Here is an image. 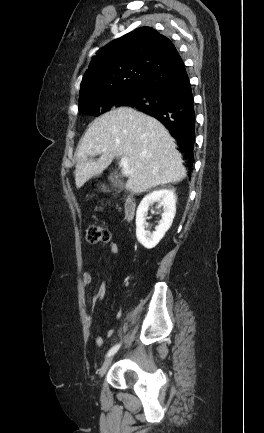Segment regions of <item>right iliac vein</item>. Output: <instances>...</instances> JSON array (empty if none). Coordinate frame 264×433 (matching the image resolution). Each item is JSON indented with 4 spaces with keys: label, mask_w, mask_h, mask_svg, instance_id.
<instances>
[{
    "label": "right iliac vein",
    "mask_w": 264,
    "mask_h": 433,
    "mask_svg": "<svg viewBox=\"0 0 264 433\" xmlns=\"http://www.w3.org/2000/svg\"><path fill=\"white\" fill-rule=\"evenodd\" d=\"M113 360V356H109L104 363L102 364L101 368H100V377H103L104 374L106 373V371L108 370V368L110 367L111 363Z\"/></svg>",
    "instance_id": "1"
}]
</instances>
